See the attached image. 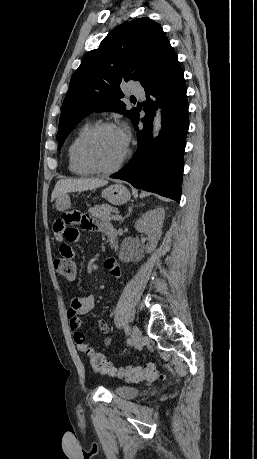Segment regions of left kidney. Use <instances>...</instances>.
I'll use <instances>...</instances> for the list:
<instances>
[{"mask_svg": "<svg viewBox=\"0 0 257 459\" xmlns=\"http://www.w3.org/2000/svg\"><path fill=\"white\" fill-rule=\"evenodd\" d=\"M165 218L164 208H156L144 213L135 223V229L147 235V252H152L162 235V226Z\"/></svg>", "mask_w": 257, "mask_h": 459, "instance_id": "5707ae66", "label": "left kidney"}]
</instances>
